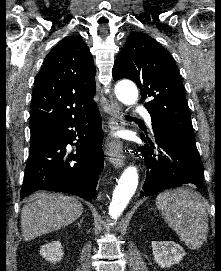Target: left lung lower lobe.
<instances>
[{
  "mask_svg": "<svg viewBox=\"0 0 221 271\" xmlns=\"http://www.w3.org/2000/svg\"><path fill=\"white\" fill-rule=\"evenodd\" d=\"M152 128L153 137L147 132L141 134V139L146 143L142 147V154L147 158L150 170H147L140 197H147L185 183L201 187L204 169L195 142L159 124H152ZM153 142L158 146V158L154 154L156 147Z\"/></svg>",
  "mask_w": 221,
  "mask_h": 271,
  "instance_id": "0a47b994",
  "label": "left lung lower lobe"
}]
</instances>
